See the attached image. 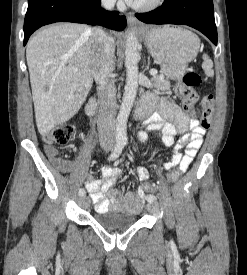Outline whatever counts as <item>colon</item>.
<instances>
[{"label": "colon", "mask_w": 247, "mask_h": 275, "mask_svg": "<svg viewBox=\"0 0 247 275\" xmlns=\"http://www.w3.org/2000/svg\"><path fill=\"white\" fill-rule=\"evenodd\" d=\"M201 83V77L194 71L186 72L181 80L176 85V94L181 100L184 110L192 113L195 105L199 100L196 88ZM202 127L208 129L211 125L214 113V98L213 95H205L201 100ZM74 136V127L72 125H59L54 127L44 136V142L47 144L64 145L67 144ZM180 176L179 169L171 171L167 175L168 183H175ZM142 190L147 193H154L158 190V185L155 183H144L141 186Z\"/></svg>", "instance_id": "obj_1"}]
</instances>
